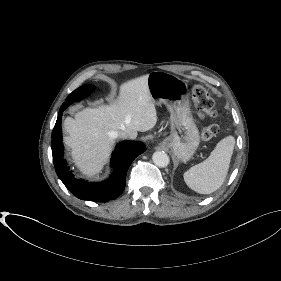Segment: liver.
<instances>
[{
	"instance_id": "obj_1",
	"label": "liver",
	"mask_w": 281,
	"mask_h": 281,
	"mask_svg": "<svg viewBox=\"0 0 281 281\" xmlns=\"http://www.w3.org/2000/svg\"><path fill=\"white\" fill-rule=\"evenodd\" d=\"M157 112L148 88V75L120 86L119 97L109 105L85 108L64 121L76 166L86 176L100 172L114 145L115 133L123 130L133 138L137 132L154 128Z\"/></svg>"
}]
</instances>
